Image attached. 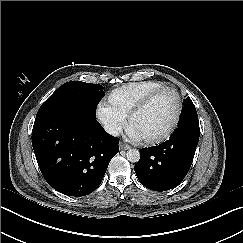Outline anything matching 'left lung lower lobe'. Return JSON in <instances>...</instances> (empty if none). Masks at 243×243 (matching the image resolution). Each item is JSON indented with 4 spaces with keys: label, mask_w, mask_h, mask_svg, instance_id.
<instances>
[{
    "label": "left lung lower lobe",
    "mask_w": 243,
    "mask_h": 243,
    "mask_svg": "<svg viewBox=\"0 0 243 243\" xmlns=\"http://www.w3.org/2000/svg\"><path fill=\"white\" fill-rule=\"evenodd\" d=\"M199 135V121L189 120L179 125L168 141L140 150L134 167L140 183L160 192L179 185L192 165Z\"/></svg>",
    "instance_id": "obj_1"
}]
</instances>
